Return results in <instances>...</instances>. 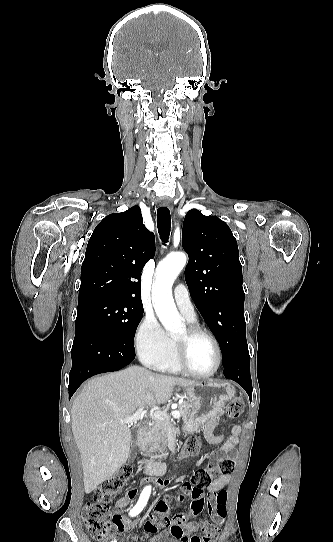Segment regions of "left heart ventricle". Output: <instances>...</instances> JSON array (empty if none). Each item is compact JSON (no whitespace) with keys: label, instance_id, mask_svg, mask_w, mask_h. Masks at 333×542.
<instances>
[{"label":"left heart ventricle","instance_id":"1","mask_svg":"<svg viewBox=\"0 0 333 542\" xmlns=\"http://www.w3.org/2000/svg\"><path fill=\"white\" fill-rule=\"evenodd\" d=\"M174 337L186 339V329ZM216 361L215 347L207 337L197 336L187 340V362L191 370L202 374L211 372Z\"/></svg>","mask_w":333,"mask_h":542}]
</instances>
